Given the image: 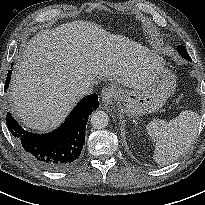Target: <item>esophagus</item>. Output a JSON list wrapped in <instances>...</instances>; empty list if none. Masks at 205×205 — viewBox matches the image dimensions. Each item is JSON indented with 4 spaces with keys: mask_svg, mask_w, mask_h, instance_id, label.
I'll list each match as a JSON object with an SVG mask.
<instances>
[{
    "mask_svg": "<svg viewBox=\"0 0 205 205\" xmlns=\"http://www.w3.org/2000/svg\"><path fill=\"white\" fill-rule=\"evenodd\" d=\"M116 99V91L113 88H104L101 92V102L103 106L111 105Z\"/></svg>",
    "mask_w": 205,
    "mask_h": 205,
    "instance_id": "34e87169",
    "label": "esophagus"
}]
</instances>
